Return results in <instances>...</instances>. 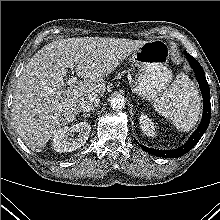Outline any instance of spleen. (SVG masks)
Returning a JSON list of instances; mask_svg holds the SVG:
<instances>
[{
  "instance_id": "3e777b00",
  "label": "spleen",
  "mask_w": 220,
  "mask_h": 220,
  "mask_svg": "<svg viewBox=\"0 0 220 220\" xmlns=\"http://www.w3.org/2000/svg\"><path fill=\"white\" fill-rule=\"evenodd\" d=\"M154 109L181 131H190L201 114V97L195 84L184 73L176 76L170 88L154 101Z\"/></svg>"
}]
</instances>
